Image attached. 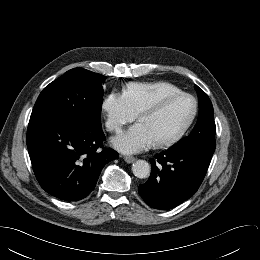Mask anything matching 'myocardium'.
Here are the masks:
<instances>
[{"mask_svg":"<svg viewBox=\"0 0 260 260\" xmlns=\"http://www.w3.org/2000/svg\"><path fill=\"white\" fill-rule=\"evenodd\" d=\"M176 97H186V98L190 99L192 101V104H193L192 111L190 113L189 118L187 119L185 124L181 127V129L178 130L175 134H173V135H171V136H169L165 139L155 141L154 145L156 147H165V146L172 145L175 142L179 141L186 134V132L190 129V127L194 123L196 116L198 114V101H197V99L193 95H191L187 92H183V91L168 93V94H165V95L161 96L160 98H158L151 105L142 109L137 115V119L140 121L142 118H144L146 116H150L152 114H155L156 112H158L161 109V107L167 101H169L170 99L176 98Z\"/></svg>","mask_w":260,"mask_h":260,"instance_id":"myocardium-1","label":"myocardium"}]
</instances>
